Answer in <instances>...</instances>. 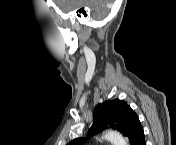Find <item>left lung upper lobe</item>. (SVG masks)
I'll return each instance as SVG.
<instances>
[{"label": "left lung upper lobe", "instance_id": "left-lung-upper-lobe-1", "mask_svg": "<svg viewBox=\"0 0 176 145\" xmlns=\"http://www.w3.org/2000/svg\"><path fill=\"white\" fill-rule=\"evenodd\" d=\"M107 127L117 129L129 138L134 145L143 129L137 114L123 100L115 99L98 104L93 112V124L89 129V135H95ZM84 140L77 138L69 145H82Z\"/></svg>", "mask_w": 176, "mask_h": 145}]
</instances>
